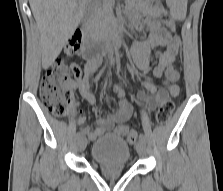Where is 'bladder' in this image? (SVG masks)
<instances>
[{"mask_svg": "<svg viewBox=\"0 0 223 191\" xmlns=\"http://www.w3.org/2000/svg\"><path fill=\"white\" fill-rule=\"evenodd\" d=\"M92 160L101 166H125L131 161V148L122 137L109 134L91 146Z\"/></svg>", "mask_w": 223, "mask_h": 191, "instance_id": "31cf9c89", "label": "bladder"}]
</instances>
